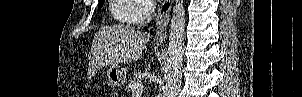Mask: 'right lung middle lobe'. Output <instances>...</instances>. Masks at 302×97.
<instances>
[{
    "instance_id": "right-lung-middle-lobe-1",
    "label": "right lung middle lobe",
    "mask_w": 302,
    "mask_h": 97,
    "mask_svg": "<svg viewBox=\"0 0 302 97\" xmlns=\"http://www.w3.org/2000/svg\"><path fill=\"white\" fill-rule=\"evenodd\" d=\"M104 4V0L100 1L99 4H98V9H100Z\"/></svg>"
}]
</instances>
